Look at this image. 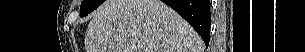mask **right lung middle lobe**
Wrapping results in <instances>:
<instances>
[{
	"instance_id": "dd1d6c3e",
	"label": "right lung middle lobe",
	"mask_w": 305,
	"mask_h": 52,
	"mask_svg": "<svg viewBox=\"0 0 305 52\" xmlns=\"http://www.w3.org/2000/svg\"><path fill=\"white\" fill-rule=\"evenodd\" d=\"M105 0H83L80 6L81 17H84L95 10Z\"/></svg>"
}]
</instances>
